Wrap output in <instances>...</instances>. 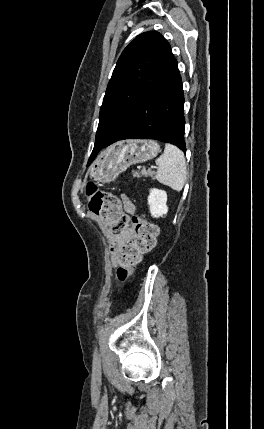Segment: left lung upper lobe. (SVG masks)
Listing matches in <instances>:
<instances>
[{
  "mask_svg": "<svg viewBox=\"0 0 264 429\" xmlns=\"http://www.w3.org/2000/svg\"><path fill=\"white\" fill-rule=\"evenodd\" d=\"M170 50L156 31L138 35L124 49L103 99L92 154L125 134L141 101L162 73Z\"/></svg>",
  "mask_w": 264,
  "mask_h": 429,
  "instance_id": "left-lung-upper-lobe-1",
  "label": "left lung upper lobe"
}]
</instances>
